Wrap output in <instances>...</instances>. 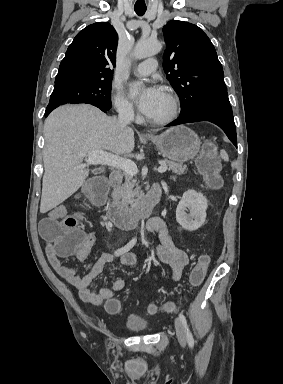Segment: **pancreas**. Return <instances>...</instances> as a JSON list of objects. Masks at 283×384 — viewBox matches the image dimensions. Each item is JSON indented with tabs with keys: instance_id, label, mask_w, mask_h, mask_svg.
Here are the masks:
<instances>
[{
	"instance_id": "1",
	"label": "pancreas",
	"mask_w": 283,
	"mask_h": 384,
	"mask_svg": "<svg viewBox=\"0 0 283 384\" xmlns=\"http://www.w3.org/2000/svg\"><path fill=\"white\" fill-rule=\"evenodd\" d=\"M167 170H172L174 174H184L187 170V166L183 164H176V162H170L165 160ZM110 176H118L121 182L124 178V184L121 186H112L113 192L111 194L113 198L114 206H118L122 214H130L133 212L136 202H138L142 192L138 190L137 180H134L133 176H128L125 172H119V170H112Z\"/></svg>"
}]
</instances>
